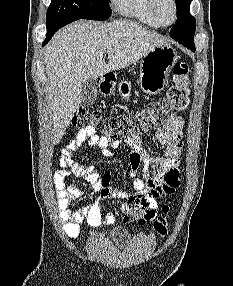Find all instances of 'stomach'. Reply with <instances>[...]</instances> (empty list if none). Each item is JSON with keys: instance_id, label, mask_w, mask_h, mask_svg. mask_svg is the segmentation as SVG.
<instances>
[{"instance_id": "obj_1", "label": "stomach", "mask_w": 233, "mask_h": 286, "mask_svg": "<svg viewBox=\"0 0 233 286\" xmlns=\"http://www.w3.org/2000/svg\"><path fill=\"white\" fill-rule=\"evenodd\" d=\"M178 54L170 45L149 51L140 62L138 85L147 94H157L168 84L169 74L176 64Z\"/></svg>"}]
</instances>
